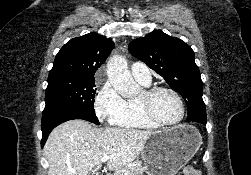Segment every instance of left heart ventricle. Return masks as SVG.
<instances>
[{"label":"left heart ventricle","instance_id":"obj_1","mask_svg":"<svg viewBox=\"0 0 251 175\" xmlns=\"http://www.w3.org/2000/svg\"><path fill=\"white\" fill-rule=\"evenodd\" d=\"M137 102L149 103L156 117L165 124H175L182 116L181 105L175 94L170 91H160L151 99L142 92Z\"/></svg>","mask_w":251,"mask_h":175}]
</instances>
